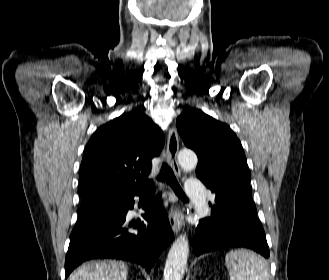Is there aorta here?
Here are the masks:
<instances>
[{
	"mask_svg": "<svg viewBox=\"0 0 329 280\" xmlns=\"http://www.w3.org/2000/svg\"><path fill=\"white\" fill-rule=\"evenodd\" d=\"M178 161L184 170H193L197 166V156L190 150H182ZM189 255V242L186 234L180 235L173 243L164 268V280H182Z\"/></svg>",
	"mask_w": 329,
	"mask_h": 280,
	"instance_id": "1",
	"label": "aorta"
}]
</instances>
